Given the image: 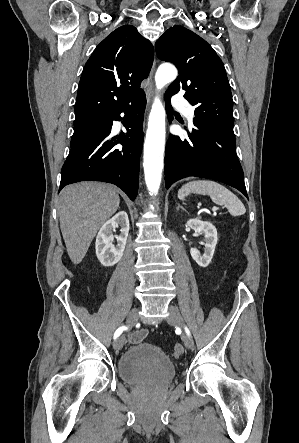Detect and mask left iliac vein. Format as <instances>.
<instances>
[{
    "mask_svg": "<svg viewBox=\"0 0 299 443\" xmlns=\"http://www.w3.org/2000/svg\"><path fill=\"white\" fill-rule=\"evenodd\" d=\"M168 313H169V315L167 317V321L169 323L175 324V325L182 327V328L184 327L183 318H182L179 310L176 307L169 306ZM182 339L184 341L186 348L193 349V346H194L193 340L189 334L184 333L182 336Z\"/></svg>",
    "mask_w": 299,
    "mask_h": 443,
    "instance_id": "4c4485c4",
    "label": "left iliac vein"
}]
</instances>
